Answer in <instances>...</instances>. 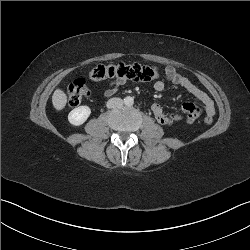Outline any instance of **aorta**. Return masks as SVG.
I'll use <instances>...</instances> for the list:
<instances>
[{
	"label": "aorta",
	"mask_w": 250,
	"mask_h": 250,
	"mask_svg": "<svg viewBox=\"0 0 250 250\" xmlns=\"http://www.w3.org/2000/svg\"><path fill=\"white\" fill-rule=\"evenodd\" d=\"M124 104L126 106H132L134 104V99L130 96L124 98Z\"/></svg>",
	"instance_id": "obj_1"
}]
</instances>
